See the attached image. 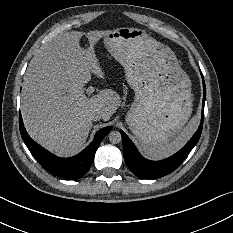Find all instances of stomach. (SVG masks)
<instances>
[{"label": "stomach", "instance_id": "stomach-1", "mask_svg": "<svg viewBox=\"0 0 233 233\" xmlns=\"http://www.w3.org/2000/svg\"><path fill=\"white\" fill-rule=\"evenodd\" d=\"M103 44L135 92L125 118L129 129L143 147L167 144L182 131L193 106L191 80L176 55L139 28H116Z\"/></svg>", "mask_w": 233, "mask_h": 233}]
</instances>
